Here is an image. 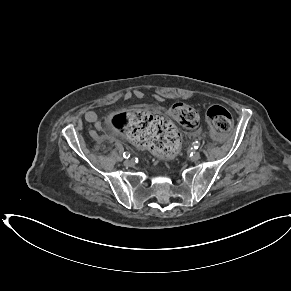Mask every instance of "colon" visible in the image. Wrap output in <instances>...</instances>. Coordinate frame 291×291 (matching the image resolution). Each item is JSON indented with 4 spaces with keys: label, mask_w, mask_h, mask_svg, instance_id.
<instances>
[{
    "label": "colon",
    "mask_w": 291,
    "mask_h": 291,
    "mask_svg": "<svg viewBox=\"0 0 291 291\" xmlns=\"http://www.w3.org/2000/svg\"><path fill=\"white\" fill-rule=\"evenodd\" d=\"M171 115L187 128H195L199 124L198 113L183 102L172 106ZM206 120L215 139L228 133L233 126L230 112L220 105L208 108ZM109 125L136 145L163 154L167 158H173L178 151V132L173 123L160 114L144 110L118 113L109 118Z\"/></svg>",
    "instance_id": "1"
}]
</instances>
